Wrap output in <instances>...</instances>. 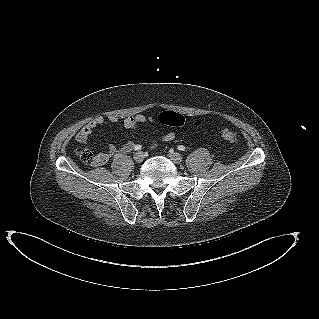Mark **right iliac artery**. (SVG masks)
<instances>
[{
  "label": "right iliac artery",
  "mask_w": 319,
  "mask_h": 319,
  "mask_svg": "<svg viewBox=\"0 0 319 319\" xmlns=\"http://www.w3.org/2000/svg\"><path fill=\"white\" fill-rule=\"evenodd\" d=\"M142 149V146L141 145H136L135 147H134V150L135 151H138V150H141Z\"/></svg>",
  "instance_id": "82829eb1"
}]
</instances>
